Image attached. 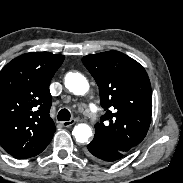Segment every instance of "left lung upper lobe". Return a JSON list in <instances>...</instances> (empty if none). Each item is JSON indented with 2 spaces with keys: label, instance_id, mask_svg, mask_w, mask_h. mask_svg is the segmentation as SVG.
<instances>
[{
  "label": "left lung upper lobe",
  "instance_id": "obj_1",
  "mask_svg": "<svg viewBox=\"0 0 183 183\" xmlns=\"http://www.w3.org/2000/svg\"><path fill=\"white\" fill-rule=\"evenodd\" d=\"M82 62L99 86L106 111L95 124V137L128 153L144 139L150 126L152 92L145 69L118 51L87 55Z\"/></svg>",
  "mask_w": 183,
  "mask_h": 183
}]
</instances>
